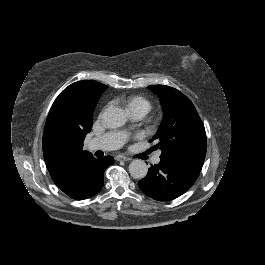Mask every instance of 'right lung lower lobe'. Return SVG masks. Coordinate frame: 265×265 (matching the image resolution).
Instances as JSON below:
<instances>
[{"label":"right lung lower lobe","instance_id":"obj_1","mask_svg":"<svg viewBox=\"0 0 265 265\" xmlns=\"http://www.w3.org/2000/svg\"><path fill=\"white\" fill-rule=\"evenodd\" d=\"M113 162L112 156L89 159L66 184L58 187L73 199H87L101 190L103 173Z\"/></svg>","mask_w":265,"mask_h":265}]
</instances>
